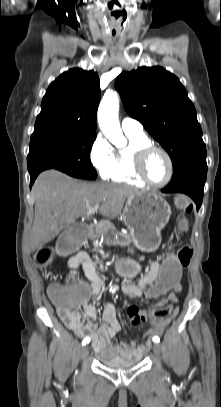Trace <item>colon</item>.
<instances>
[{"label": "colon", "instance_id": "colon-1", "mask_svg": "<svg viewBox=\"0 0 221 407\" xmlns=\"http://www.w3.org/2000/svg\"><path fill=\"white\" fill-rule=\"evenodd\" d=\"M178 209L189 213L192 205L187 196L179 195L175 200ZM92 222H71L69 230L59 235L60 246H57V255H76L77 249H82L85 245V239H88L89 232L92 231ZM184 222H181L180 229L185 230ZM192 249L189 246H183L177 252H166L164 258L159 264V277L155 283H150L147 298L149 300H158L162 297L160 292H174L175 286H180L181 277H183V268L187 267L192 257ZM53 252L49 248L40 250L36 256V262L39 266H46L52 259ZM48 295L57 308L58 313L68 314L78 306V293L74 282H66V285L53 284L48 288ZM172 308L168 304L157 305L153 311L145 316L147 322L160 318H168Z\"/></svg>", "mask_w": 221, "mask_h": 407}]
</instances>
